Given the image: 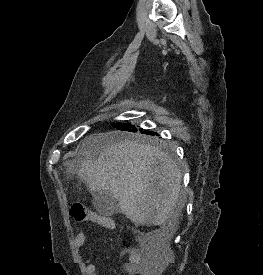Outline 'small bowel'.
<instances>
[{
  "mask_svg": "<svg viewBox=\"0 0 263 275\" xmlns=\"http://www.w3.org/2000/svg\"><path fill=\"white\" fill-rule=\"evenodd\" d=\"M99 216V215H98ZM102 217V216H100ZM103 221L112 223L109 219L102 217ZM104 228L105 227L101 223H96ZM86 241V232H79L75 239L74 245L77 249H81ZM138 246L126 249L124 252L128 254L129 261L126 263L124 271L127 275H148L149 268V258L147 256V248L146 245L143 244L142 240L137 237ZM84 273L86 275H98L96 265L93 263H85L84 264Z\"/></svg>",
  "mask_w": 263,
  "mask_h": 275,
  "instance_id": "small-bowel-1",
  "label": "small bowel"
}]
</instances>
